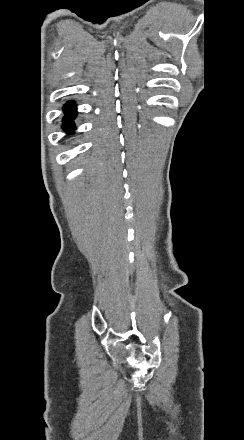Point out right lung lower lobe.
<instances>
[{
    "mask_svg": "<svg viewBox=\"0 0 244 440\" xmlns=\"http://www.w3.org/2000/svg\"><path fill=\"white\" fill-rule=\"evenodd\" d=\"M65 114L66 116L64 117V126L68 130H71L74 128L73 118L75 116V110L72 104H68L65 106Z\"/></svg>",
    "mask_w": 244,
    "mask_h": 440,
    "instance_id": "98d812e1",
    "label": "right lung lower lobe"
}]
</instances>
